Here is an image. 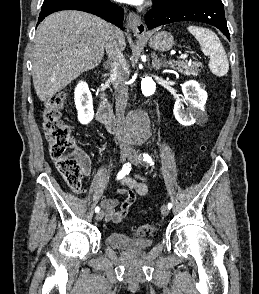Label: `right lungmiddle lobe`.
Masks as SVG:
<instances>
[{"mask_svg": "<svg viewBox=\"0 0 259 294\" xmlns=\"http://www.w3.org/2000/svg\"><path fill=\"white\" fill-rule=\"evenodd\" d=\"M53 1L54 0H44V3H43L42 6H45V5H47V4H49V3L53 2Z\"/></svg>", "mask_w": 259, "mask_h": 294, "instance_id": "right-lung-middle-lobe-1", "label": "right lung middle lobe"}]
</instances>
